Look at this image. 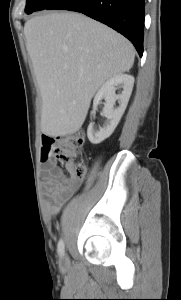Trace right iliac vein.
I'll use <instances>...</instances> for the list:
<instances>
[{
	"instance_id": "1",
	"label": "right iliac vein",
	"mask_w": 181,
	"mask_h": 300,
	"mask_svg": "<svg viewBox=\"0 0 181 300\" xmlns=\"http://www.w3.org/2000/svg\"><path fill=\"white\" fill-rule=\"evenodd\" d=\"M59 265H60V268L62 270H67L70 266V261H69V258L63 254L60 258V261H59Z\"/></svg>"
}]
</instances>
